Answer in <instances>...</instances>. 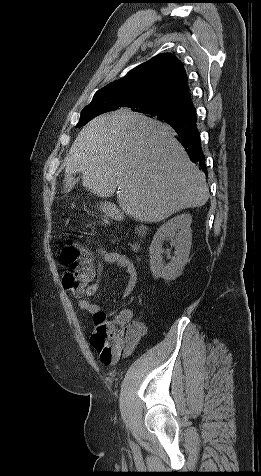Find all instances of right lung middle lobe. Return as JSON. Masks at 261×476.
I'll list each match as a JSON object with an SVG mask.
<instances>
[{
  "mask_svg": "<svg viewBox=\"0 0 261 476\" xmlns=\"http://www.w3.org/2000/svg\"><path fill=\"white\" fill-rule=\"evenodd\" d=\"M118 100L119 98L114 95L93 100L82 110L77 127L85 125L88 121L102 113L119 110L120 105ZM130 110L155 117L166 123L180 120L185 114V111L181 109L155 102L146 103Z\"/></svg>",
  "mask_w": 261,
  "mask_h": 476,
  "instance_id": "right-lung-middle-lobe-1",
  "label": "right lung middle lobe"
}]
</instances>
